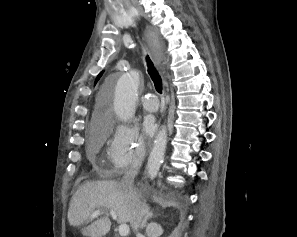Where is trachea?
Segmentation results:
<instances>
[{"label":"trachea","mask_w":297,"mask_h":237,"mask_svg":"<svg viewBox=\"0 0 297 237\" xmlns=\"http://www.w3.org/2000/svg\"><path fill=\"white\" fill-rule=\"evenodd\" d=\"M147 66H148V73L154 83L155 89L158 93H162V79L156 70L153 62L149 58V56H146Z\"/></svg>","instance_id":"3493384b"}]
</instances>
